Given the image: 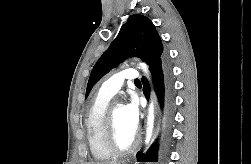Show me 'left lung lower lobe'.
Returning <instances> with one entry per match:
<instances>
[{
	"mask_svg": "<svg viewBox=\"0 0 251 164\" xmlns=\"http://www.w3.org/2000/svg\"><path fill=\"white\" fill-rule=\"evenodd\" d=\"M155 91L160 102L162 112V138L164 143L167 142L172 125L174 102H173V81L171 70L167 59L164 57L160 62L155 64L151 69ZM144 85L143 92L149 98V83L145 77L142 78ZM139 162H156L157 160V145H153L147 154L142 153L137 155Z\"/></svg>",
	"mask_w": 251,
	"mask_h": 164,
	"instance_id": "obj_1",
	"label": "left lung lower lobe"
}]
</instances>
